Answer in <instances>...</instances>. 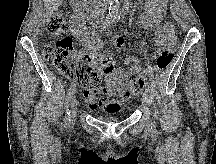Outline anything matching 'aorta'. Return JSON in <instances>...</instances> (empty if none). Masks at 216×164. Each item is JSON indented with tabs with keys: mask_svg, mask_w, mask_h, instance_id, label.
Listing matches in <instances>:
<instances>
[{
	"mask_svg": "<svg viewBox=\"0 0 216 164\" xmlns=\"http://www.w3.org/2000/svg\"><path fill=\"white\" fill-rule=\"evenodd\" d=\"M110 3V15L113 17H117L120 11V3L119 0H108Z\"/></svg>",
	"mask_w": 216,
	"mask_h": 164,
	"instance_id": "obj_1",
	"label": "aorta"
}]
</instances>
